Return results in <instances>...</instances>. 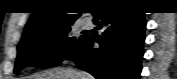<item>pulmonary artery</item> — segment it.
Returning <instances> with one entry per match:
<instances>
[{"label":"pulmonary artery","instance_id":"obj_1","mask_svg":"<svg viewBox=\"0 0 177 79\" xmlns=\"http://www.w3.org/2000/svg\"><path fill=\"white\" fill-rule=\"evenodd\" d=\"M90 24H91V20L89 18L83 19L82 25H83L84 28L89 27Z\"/></svg>","mask_w":177,"mask_h":79}]
</instances>
